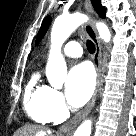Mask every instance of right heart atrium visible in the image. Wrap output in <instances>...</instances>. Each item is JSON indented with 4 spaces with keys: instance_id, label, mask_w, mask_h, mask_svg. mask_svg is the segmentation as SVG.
Returning <instances> with one entry per match:
<instances>
[{
    "instance_id": "d8ad5b80",
    "label": "right heart atrium",
    "mask_w": 136,
    "mask_h": 136,
    "mask_svg": "<svg viewBox=\"0 0 136 136\" xmlns=\"http://www.w3.org/2000/svg\"><path fill=\"white\" fill-rule=\"evenodd\" d=\"M46 106L54 121L64 119L68 114V107L61 92L49 88L46 95Z\"/></svg>"
}]
</instances>
